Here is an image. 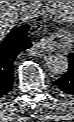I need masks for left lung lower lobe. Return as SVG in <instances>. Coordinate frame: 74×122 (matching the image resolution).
<instances>
[{
    "label": "left lung lower lobe",
    "mask_w": 74,
    "mask_h": 122,
    "mask_svg": "<svg viewBox=\"0 0 74 122\" xmlns=\"http://www.w3.org/2000/svg\"><path fill=\"white\" fill-rule=\"evenodd\" d=\"M68 60V71L56 80V86L60 92L74 96V53L68 56Z\"/></svg>",
    "instance_id": "obj_1"
}]
</instances>
